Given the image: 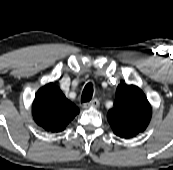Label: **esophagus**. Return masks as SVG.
Returning a JSON list of instances; mask_svg holds the SVG:
<instances>
[{"instance_id": "34e87169", "label": "esophagus", "mask_w": 173, "mask_h": 170, "mask_svg": "<svg viewBox=\"0 0 173 170\" xmlns=\"http://www.w3.org/2000/svg\"><path fill=\"white\" fill-rule=\"evenodd\" d=\"M99 105H100L99 100L98 99H93L90 102L84 103L83 107L85 109H87V108H98Z\"/></svg>"}]
</instances>
